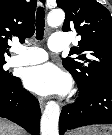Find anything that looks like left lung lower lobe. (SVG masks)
<instances>
[{
	"label": "left lung lower lobe",
	"instance_id": "obj_1",
	"mask_svg": "<svg viewBox=\"0 0 112 135\" xmlns=\"http://www.w3.org/2000/svg\"><path fill=\"white\" fill-rule=\"evenodd\" d=\"M102 123L112 124V78L98 81L87 90L79 88L76 102L62 109L59 131L63 135L68 129Z\"/></svg>",
	"mask_w": 112,
	"mask_h": 135
}]
</instances>
